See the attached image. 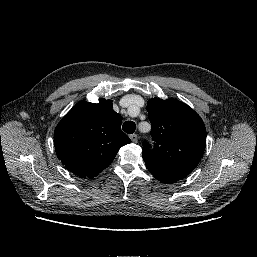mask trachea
Masks as SVG:
<instances>
[{
    "label": "trachea",
    "mask_w": 257,
    "mask_h": 257,
    "mask_svg": "<svg viewBox=\"0 0 257 257\" xmlns=\"http://www.w3.org/2000/svg\"><path fill=\"white\" fill-rule=\"evenodd\" d=\"M122 129L128 134H132L135 132L136 124L133 121H126L123 124Z\"/></svg>",
    "instance_id": "3493384b"
}]
</instances>
